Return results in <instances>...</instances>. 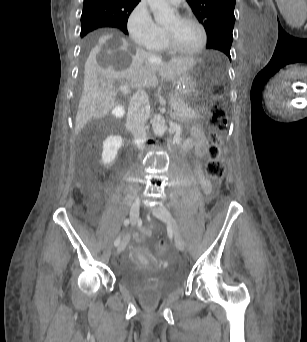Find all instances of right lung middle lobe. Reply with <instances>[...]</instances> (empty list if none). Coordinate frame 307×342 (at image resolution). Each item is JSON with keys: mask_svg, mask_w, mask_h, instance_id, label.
<instances>
[{"mask_svg": "<svg viewBox=\"0 0 307 342\" xmlns=\"http://www.w3.org/2000/svg\"><path fill=\"white\" fill-rule=\"evenodd\" d=\"M111 23V19L102 13L94 11H86L81 16V36H85L88 32L101 27H107ZM128 34V31H124Z\"/></svg>", "mask_w": 307, "mask_h": 342, "instance_id": "right-lung-middle-lobe-1", "label": "right lung middle lobe"}]
</instances>
